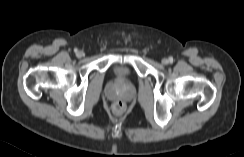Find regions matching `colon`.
Here are the masks:
<instances>
[{
  "instance_id": "1",
  "label": "colon",
  "mask_w": 244,
  "mask_h": 157,
  "mask_svg": "<svg viewBox=\"0 0 244 157\" xmlns=\"http://www.w3.org/2000/svg\"><path fill=\"white\" fill-rule=\"evenodd\" d=\"M125 110V104L122 101H116L113 104V111L117 114L120 115L124 112Z\"/></svg>"
}]
</instances>
